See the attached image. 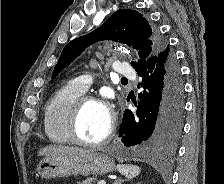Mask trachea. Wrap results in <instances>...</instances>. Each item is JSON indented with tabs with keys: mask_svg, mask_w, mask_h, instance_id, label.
Segmentation results:
<instances>
[{
	"mask_svg": "<svg viewBox=\"0 0 224 184\" xmlns=\"http://www.w3.org/2000/svg\"><path fill=\"white\" fill-rule=\"evenodd\" d=\"M121 80H122V81H128L126 78H122Z\"/></svg>",
	"mask_w": 224,
	"mask_h": 184,
	"instance_id": "3493384b",
	"label": "trachea"
}]
</instances>
